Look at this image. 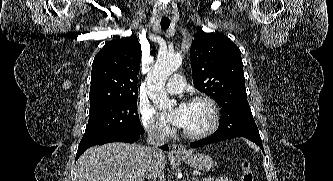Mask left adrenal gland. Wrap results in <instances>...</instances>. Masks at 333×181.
Segmentation results:
<instances>
[{
    "instance_id": "left-adrenal-gland-1",
    "label": "left adrenal gland",
    "mask_w": 333,
    "mask_h": 181,
    "mask_svg": "<svg viewBox=\"0 0 333 181\" xmlns=\"http://www.w3.org/2000/svg\"><path fill=\"white\" fill-rule=\"evenodd\" d=\"M193 181H198L196 178H193Z\"/></svg>"
}]
</instances>
